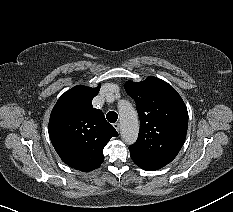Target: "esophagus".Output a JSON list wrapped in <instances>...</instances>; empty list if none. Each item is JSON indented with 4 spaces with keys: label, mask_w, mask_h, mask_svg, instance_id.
Instances as JSON below:
<instances>
[{
    "label": "esophagus",
    "mask_w": 233,
    "mask_h": 212,
    "mask_svg": "<svg viewBox=\"0 0 233 212\" xmlns=\"http://www.w3.org/2000/svg\"><path fill=\"white\" fill-rule=\"evenodd\" d=\"M113 126H114V128L116 129L117 132L120 131V125H119V123H114Z\"/></svg>",
    "instance_id": "1"
}]
</instances>
